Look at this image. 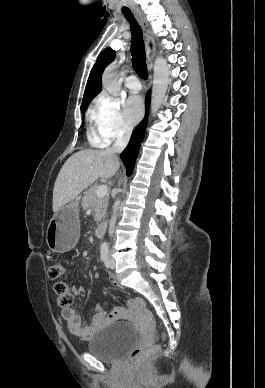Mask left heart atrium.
Returning a JSON list of instances; mask_svg holds the SVG:
<instances>
[{"instance_id":"39dd6f15","label":"left heart atrium","mask_w":265,"mask_h":388,"mask_svg":"<svg viewBox=\"0 0 265 388\" xmlns=\"http://www.w3.org/2000/svg\"><path fill=\"white\" fill-rule=\"evenodd\" d=\"M125 116L130 122H137L143 113L142 100L139 95H131L125 102Z\"/></svg>"}]
</instances>
